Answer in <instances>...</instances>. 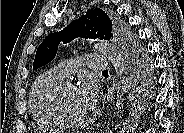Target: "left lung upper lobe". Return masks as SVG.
Segmentation results:
<instances>
[{
	"instance_id": "left-lung-upper-lobe-1",
	"label": "left lung upper lobe",
	"mask_w": 184,
	"mask_h": 133,
	"mask_svg": "<svg viewBox=\"0 0 184 133\" xmlns=\"http://www.w3.org/2000/svg\"><path fill=\"white\" fill-rule=\"evenodd\" d=\"M99 38L110 40L115 37L122 47L126 58L128 72V102L134 103L140 95L143 83L149 78L150 63L144 56L143 50L126 25L110 16L102 9H91L79 20L71 22L60 32L49 34L39 45L33 70H36L54 59L60 42L69 43L74 38Z\"/></svg>"
}]
</instances>
